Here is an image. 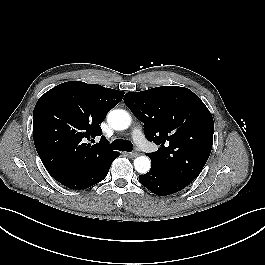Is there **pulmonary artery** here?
I'll list each match as a JSON object with an SVG mask.
<instances>
[{
    "label": "pulmonary artery",
    "mask_w": 265,
    "mask_h": 265,
    "mask_svg": "<svg viewBox=\"0 0 265 265\" xmlns=\"http://www.w3.org/2000/svg\"><path fill=\"white\" fill-rule=\"evenodd\" d=\"M131 137L140 148H145V139L140 128L136 127L131 131Z\"/></svg>",
    "instance_id": "obj_1"
}]
</instances>
